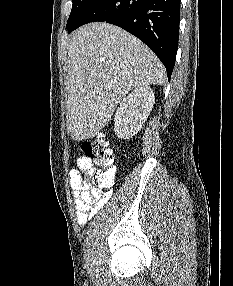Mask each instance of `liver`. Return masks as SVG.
I'll return each instance as SVG.
<instances>
[{"instance_id": "obj_1", "label": "liver", "mask_w": 233, "mask_h": 286, "mask_svg": "<svg viewBox=\"0 0 233 286\" xmlns=\"http://www.w3.org/2000/svg\"><path fill=\"white\" fill-rule=\"evenodd\" d=\"M67 69V130L76 141L96 137L133 88L166 80L163 65L142 41L108 23H90L72 34Z\"/></svg>"}]
</instances>
